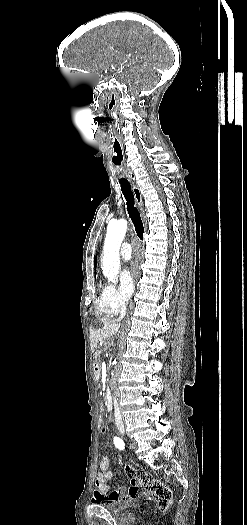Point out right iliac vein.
<instances>
[{
  "mask_svg": "<svg viewBox=\"0 0 247 525\" xmlns=\"http://www.w3.org/2000/svg\"><path fill=\"white\" fill-rule=\"evenodd\" d=\"M119 431L124 435L125 434V428L124 426H119L118 427Z\"/></svg>",
  "mask_w": 247,
  "mask_h": 525,
  "instance_id": "63e3f726",
  "label": "right iliac vein"
}]
</instances>
